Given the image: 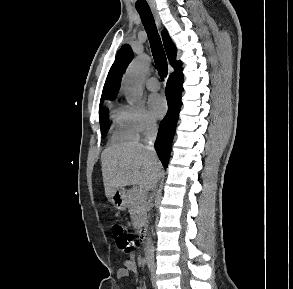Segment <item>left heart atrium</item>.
Wrapping results in <instances>:
<instances>
[{
  "label": "left heart atrium",
  "instance_id": "left-heart-atrium-1",
  "mask_svg": "<svg viewBox=\"0 0 293 289\" xmlns=\"http://www.w3.org/2000/svg\"><path fill=\"white\" fill-rule=\"evenodd\" d=\"M148 106L152 116L155 118L163 117L167 109L165 99L159 94H152L148 98Z\"/></svg>",
  "mask_w": 293,
  "mask_h": 289
}]
</instances>
